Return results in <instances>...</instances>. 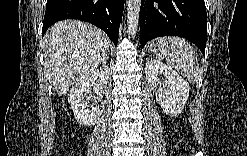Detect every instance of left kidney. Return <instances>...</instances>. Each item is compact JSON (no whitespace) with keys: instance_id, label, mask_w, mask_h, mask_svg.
I'll use <instances>...</instances> for the list:
<instances>
[{"instance_id":"5707ae66","label":"left kidney","mask_w":247,"mask_h":156,"mask_svg":"<svg viewBox=\"0 0 247 156\" xmlns=\"http://www.w3.org/2000/svg\"><path fill=\"white\" fill-rule=\"evenodd\" d=\"M145 74L163 111L171 117L180 114L189 96L188 82L171 67L155 59L146 62Z\"/></svg>"}]
</instances>
